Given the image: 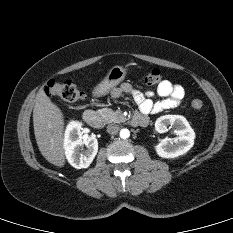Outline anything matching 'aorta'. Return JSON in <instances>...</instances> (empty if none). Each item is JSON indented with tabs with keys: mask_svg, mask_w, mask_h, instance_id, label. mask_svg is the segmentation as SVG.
<instances>
[{
	"mask_svg": "<svg viewBox=\"0 0 233 233\" xmlns=\"http://www.w3.org/2000/svg\"><path fill=\"white\" fill-rule=\"evenodd\" d=\"M129 136H130V131L128 130V129H121V131H120V137L122 138V139H127V138H129Z\"/></svg>",
	"mask_w": 233,
	"mask_h": 233,
	"instance_id": "762f6f07",
	"label": "aorta"
}]
</instances>
